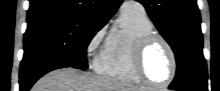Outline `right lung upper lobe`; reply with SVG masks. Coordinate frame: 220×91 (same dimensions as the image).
Returning a JSON list of instances; mask_svg holds the SVG:
<instances>
[{
    "label": "right lung upper lobe",
    "instance_id": "cb5924a9",
    "mask_svg": "<svg viewBox=\"0 0 220 91\" xmlns=\"http://www.w3.org/2000/svg\"><path fill=\"white\" fill-rule=\"evenodd\" d=\"M121 3L122 0H30L27 23L64 18L104 26Z\"/></svg>",
    "mask_w": 220,
    "mask_h": 91
}]
</instances>
